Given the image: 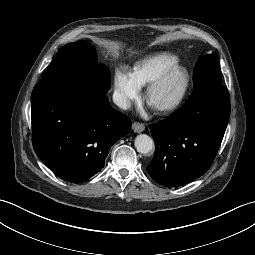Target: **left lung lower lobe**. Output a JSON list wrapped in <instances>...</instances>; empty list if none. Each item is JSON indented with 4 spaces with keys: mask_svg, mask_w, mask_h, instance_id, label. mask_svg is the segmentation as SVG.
<instances>
[{
    "mask_svg": "<svg viewBox=\"0 0 255 255\" xmlns=\"http://www.w3.org/2000/svg\"><path fill=\"white\" fill-rule=\"evenodd\" d=\"M229 115L227 88L215 78L201 81L178 112L149 125L156 146L149 175L170 187L202 176L216 156Z\"/></svg>",
    "mask_w": 255,
    "mask_h": 255,
    "instance_id": "0a47b994",
    "label": "left lung lower lobe"
}]
</instances>
